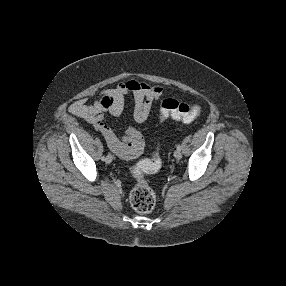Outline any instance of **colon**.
Masks as SVG:
<instances>
[{"label":"colon","mask_w":286,"mask_h":286,"mask_svg":"<svg viewBox=\"0 0 286 286\" xmlns=\"http://www.w3.org/2000/svg\"><path fill=\"white\" fill-rule=\"evenodd\" d=\"M201 106L197 103L187 104L174 99H166L162 102L159 111V118L165 120L169 117L192 122L201 114ZM160 168V160L157 156L152 159L141 160L137 165V172L155 173ZM130 203L135 211L141 214L151 212L156 205V195L153 189L143 180L132 190Z\"/></svg>","instance_id":"colon-1"}]
</instances>
